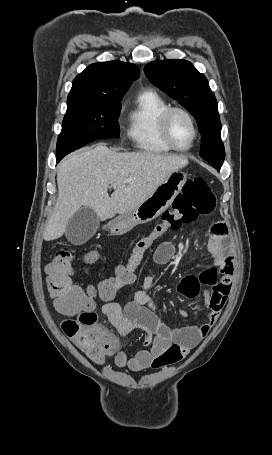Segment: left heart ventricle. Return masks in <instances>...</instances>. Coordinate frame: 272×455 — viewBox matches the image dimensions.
Here are the masks:
<instances>
[{"instance_id": "b2bd125f", "label": "left heart ventricle", "mask_w": 272, "mask_h": 455, "mask_svg": "<svg viewBox=\"0 0 272 455\" xmlns=\"http://www.w3.org/2000/svg\"><path fill=\"white\" fill-rule=\"evenodd\" d=\"M169 130L172 140L179 147H187L193 138L191 124L181 113H174L171 116Z\"/></svg>"}]
</instances>
